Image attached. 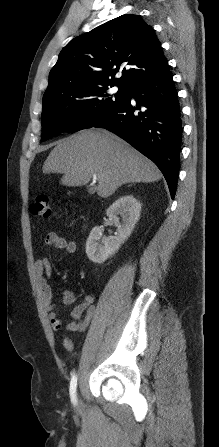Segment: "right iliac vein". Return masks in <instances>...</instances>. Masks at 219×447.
Returning a JSON list of instances; mask_svg holds the SVG:
<instances>
[{"mask_svg": "<svg viewBox=\"0 0 219 447\" xmlns=\"http://www.w3.org/2000/svg\"><path fill=\"white\" fill-rule=\"evenodd\" d=\"M76 405L77 406L80 405V399L79 398H77V400H76Z\"/></svg>", "mask_w": 219, "mask_h": 447, "instance_id": "obj_1", "label": "right iliac vein"}]
</instances>
